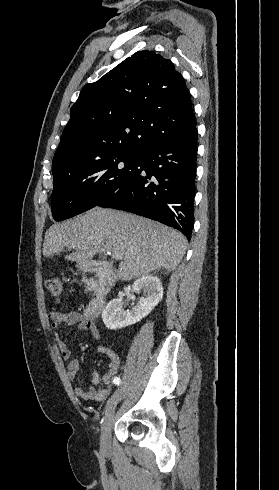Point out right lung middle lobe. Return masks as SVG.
<instances>
[{
    "mask_svg": "<svg viewBox=\"0 0 279 490\" xmlns=\"http://www.w3.org/2000/svg\"><path fill=\"white\" fill-rule=\"evenodd\" d=\"M141 171V156L110 152L54 178L53 218L62 221L98 206Z\"/></svg>",
    "mask_w": 279,
    "mask_h": 490,
    "instance_id": "obj_1",
    "label": "right lung middle lobe"
}]
</instances>
